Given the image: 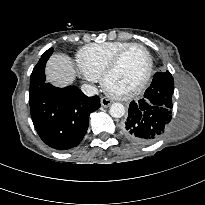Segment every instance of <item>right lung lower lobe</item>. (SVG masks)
Returning a JSON list of instances; mask_svg holds the SVG:
<instances>
[{"label": "right lung lower lobe", "mask_w": 205, "mask_h": 205, "mask_svg": "<svg viewBox=\"0 0 205 205\" xmlns=\"http://www.w3.org/2000/svg\"><path fill=\"white\" fill-rule=\"evenodd\" d=\"M53 53L48 49L30 77L29 104L33 124L48 146L67 150L78 145L89 125L90 113L100 107L98 96L87 97L76 86L56 88L45 80V64Z\"/></svg>", "instance_id": "1"}]
</instances>
